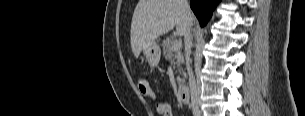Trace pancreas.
Masks as SVG:
<instances>
[{
  "instance_id": "obj_1",
  "label": "pancreas",
  "mask_w": 305,
  "mask_h": 116,
  "mask_svg": "<svg viewBox=\"0 0 305 116\" xmlns=\"http://www.w3.org/2000/svg\"><path fill=\"white\" fill-rule=\"evenodd\" d=\"M174 40L173 39H166L163 42V54L165 56L166 60H172L174 67L178 68V72L180 74H183L182 65L184 64V58L181 50L173 51L171 50L172 44ZM177 83L181 85L183 83V79L178 76L177 77Z\"/></svg>"
}]
</instances>
